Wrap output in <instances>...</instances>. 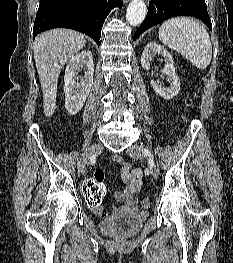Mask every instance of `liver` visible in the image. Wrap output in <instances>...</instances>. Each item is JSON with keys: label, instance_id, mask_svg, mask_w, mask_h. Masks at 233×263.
<instances>
[{"label": "liver", "instance_id": "1", "mask_svg": "<svg viewBox=\"0 0 233 263\" xmlns=\"http://www.w3.org/2000/svg\"><path fill=\"white\" fill-rule=\"evenodd\" d=\"M86 44L85 36L71 29H52L34 41V59L43 93L44 113L51 117L56 109L57 82L62 67Z\"/></svg>", "mask_w": 233, "mask_h": 263}]
</instances>
